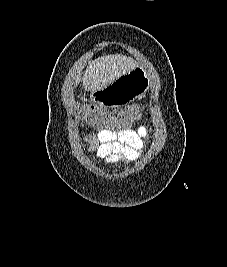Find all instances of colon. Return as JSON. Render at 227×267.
<instances>
[{
	"instance_id": "1",
	"label": "colon",
	"mask_w": 227,
	"mask_h": 267,
	"mask_svg": "<svg viewBox=\"0 0 227 267\" xmlns=\"http://www.w3.org/2000/svg\"><path fill=\"white\" fill-rule=\"evenodd\" d=\"M146 89V87H145ZM138 105H131L127 110H102L97 105H84L80 107L78 114L90 122L95 130H125V125H133V120L139 116H146V111H139Z\"/></svg>"
}]
</instances>
